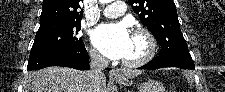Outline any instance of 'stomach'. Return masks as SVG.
<instances>
[{
	"label": "stomach",
	"instance_id": "stomach-1",
	"mask_svg": "<svg viewBox=\"0 0 225 92\" xmlns=\"http://www.w3.org/2000/svg\"><path fill=\"white\" fill-rule=\"evenodd\" d=\"M128 79L129 78L125 74L117 77V80L122 84L128 83ZM138 90L139 92H165L164 87L158 81L154 80H148L141 83L138 86Z\"/></svg>",
	"mask_w": 225,
	"mask_h": 92
}]
</instances>
